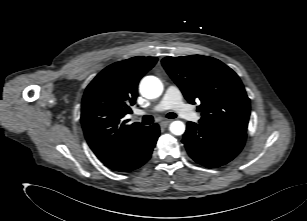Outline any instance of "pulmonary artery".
<instances>
[{
  "label": "pulmonary artery",
  "mask_w": 307,
  "mask_h": 221,
  "mask_svg": "<svg viewBox=\"0 0 307 221\" xmlns=\"http://www.w3.org/2000/svg\"><path fill=\"white\" fill-rule=\"evenodd\" d=\"M172 109L178 115L184 118L197 119L198 116L193 112L182 100V93L180 89L174 85L169 86L162 99L152 107L148 112L151 113H160L166 110ZM147 112L138 110L137 115H143Z\"/></svg>",
  "instance_id": "1"
}]
</instances>
